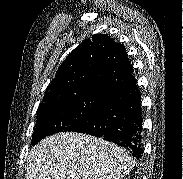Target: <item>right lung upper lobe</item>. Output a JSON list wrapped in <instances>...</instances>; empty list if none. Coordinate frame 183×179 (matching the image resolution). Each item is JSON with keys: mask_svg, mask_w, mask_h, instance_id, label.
Instances as JSON below:
<instances>
[{"mask_svg": "<svg viewBox=\"0 0 183 179\" xmlns=\"http://www.w3.org/2000/svg\"><path fill=\"white\" fill-rule=\"evenodd\" d=\"M125 47L105 34H95L75 48L46 88L40 106L90 94H101L132 76Z\"/></svg>", "mask_w": 183, "mask_h": 179, "instance_id": "right-lung-upper-lobe-1", "label": "right lung upper lobe"}]
</instances>
